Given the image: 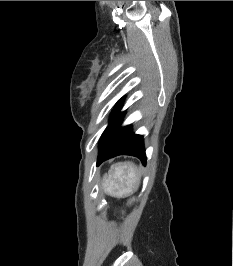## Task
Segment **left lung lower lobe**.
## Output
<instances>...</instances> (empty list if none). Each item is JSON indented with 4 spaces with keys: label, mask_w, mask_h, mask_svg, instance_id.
<instances>
[{
    "label": "left lung lower lobe",
    "mask_w": 233,
    "mask_h": 266,
    "mask_svg": "<svg viewBox=\"0 0 233 266\" xmlns=\"http://www.w3.org/2000/svg\"><path fill=\"white\" fill-rule=\"evenodd\" d=\"M122 101L123 98L116 103L109 124L101 136L97 165L117 155L138 157L146 165L143 137L132 133L131 126H120L125 114L120 112Z\"/></svg>",
    "instance_id": "0a47b994"
}]
</instances>
